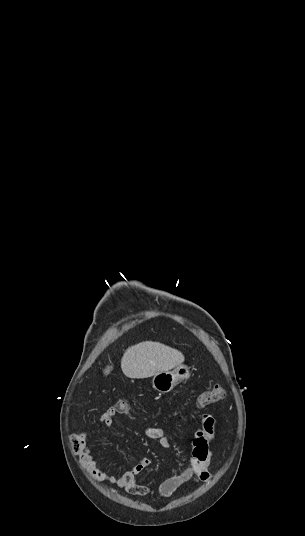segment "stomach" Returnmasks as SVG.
Masks as SVG:
<instances>
[{"mask_svg":"<svg viewBox=\"0 0 305 536\" xmlns=\"http://www.w3.org/2000/svg\"><path fill=\"white\" fill-rule=\"evenodd\" d=\"M190 374V368L185 366V364H180V366H176L172 372H169L168 370V372H159V374H155L152 378V386L157 392L166 394V392H171V390H173L177 382L188 380Z\"/></svg>","mask_w":305,"mask_h":536,"instance_id":"1","label":"stomach"}]
</instances>
